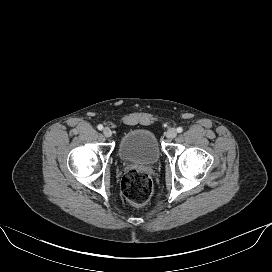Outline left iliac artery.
<instances>
[{"label": "left iliac artery", "instance_id": "obj_1", "mask_svg": "<svg viewBox=\"0 0 272 272\" xmlns=\"http://www.w3.org/2000/svg\"><path fill=\"white\" fill-rule=\"evenodd\" d=\"M182 131H183V128H182V127H178V128H177V132H178V133H181Z\"/></svg>", "mask_w": 272, "mask_h": 272}]
</instances>
